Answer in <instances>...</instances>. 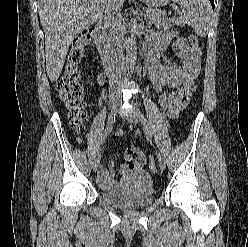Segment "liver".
Wrapping results in <instances>:
<instances>
[{
	"instance_id": "liver-1",
	"label": "liver",
	"mask_w": 248,
	"mask_h": 247,
	"mask_svg": "<svg viewBox=\"0 0 248 247\" xmlns=\"http://www.w3.org/2000/svg\"><path fill=\"white\" fill-rule=\"evenodd\" d=\"M107 0H38L45 33L46 71L58 80L74 38L102 18ZM124 0L120 4L123 5Z\"/></svg>"
}]
</instances>
